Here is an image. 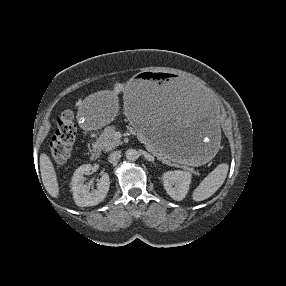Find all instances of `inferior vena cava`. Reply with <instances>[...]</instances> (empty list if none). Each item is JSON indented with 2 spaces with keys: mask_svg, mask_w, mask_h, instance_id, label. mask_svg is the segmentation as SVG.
I'll return each mask as SVG.
<instances>
[{
  "mask_svg": "<svg viewBox=\"0 0 286 286\" xmlns=\"http://www.w3.org/2000/svg\"><path fill=\"white\" fill-rule=\"evenodd\" d=\"M120 154V151L112 152L108 157L109 162L114 163L120 157Z\"/></svg>",
  "mask_w": 286,
  "mask_h": 286,
  "instance_id": "602c4592",
  "label": "inferior vena cava"
}]
</instances>
